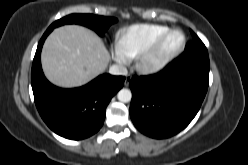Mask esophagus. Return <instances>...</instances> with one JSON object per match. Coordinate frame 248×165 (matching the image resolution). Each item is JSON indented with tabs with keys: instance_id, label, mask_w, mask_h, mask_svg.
Returning <instances> with one entry per match:
<instances>
[{
	"instance_id": "esophagus-1",
	"label": "esophagus",
	"mask_w": 248,
	"mask_h": 165,
	"mask_svg": "<svg viewBox=\"0 0 248 165\" xmlns=\"http://www.w3.org/2000/svg\"><path fill=\"white\" fill-rule=\"evenodd\" d=\"M131 79H132V76H131V75H127V76L125 77L124 85H125V86H128L129 83H130V81H131Z\"/></svg>"
}]
</instances>
